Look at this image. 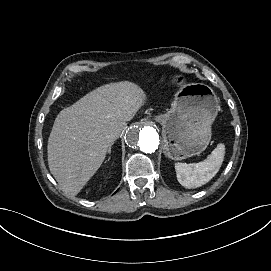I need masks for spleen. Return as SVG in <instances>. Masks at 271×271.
Masks as SVG:
<instances>
[{
	"mask_svg": "<svg viewBox=\"0 0 271 271\" xmlns=\"http://www.w3.org/2000/svg\"><path fill=\"white\" fill-rule=\"evenodd\" d=\"M224 146L218 144L206 160L197 163H175L176 175L187 178L200 186L209 181L219 170L223 161Z\"/></svg>",
	"mask_w": 271,
	"mask_h": 271,
	"instance_id": "3e777b00",
	"label": "spleen"
}]
</instances>
